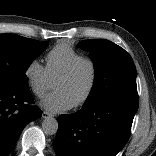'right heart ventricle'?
<instances>
[{
  "mask_svg": "<svg viewBox=\"0 0 156 156\" xmlns=\"http://www.w3.org/2000/svg\"><path fill=\"white\" fill-rule=\"evenodd\" d=\"M82 54L67 43L54 46L46 55V70L51 81L68 69Z\"/></svg>",
  "mask_w": 156,
  "mask_h": 156,
  "instance_id": "e07e8e85",
  "label": "right heart ventricle"
}]
</instances>
